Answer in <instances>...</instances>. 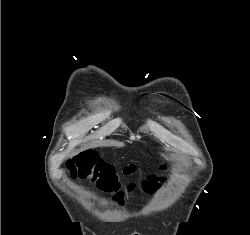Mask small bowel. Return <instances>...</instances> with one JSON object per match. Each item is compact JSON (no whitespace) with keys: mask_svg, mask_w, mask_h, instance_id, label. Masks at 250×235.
Listing matches in <instances>:
<instances>
[{"mask_svg":"<svg viewBox=\"0 0 250 235\" xmlns=\"http://www.w3.org/2000/svg\"><path fill=\"white\" fill-rule=\"evenodd\" d=\"M145 191H146V193L152 194V193H154V192L156 191V187H149V188H146ZM141 202H142V203H145V198H144V197H142Z\"/></svg>","mask_w":250,"mask_h":235,"instance_id":"obj_1","label":"small bowel"}]
</instances>
